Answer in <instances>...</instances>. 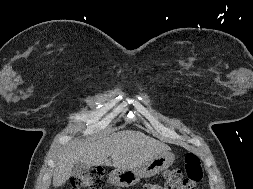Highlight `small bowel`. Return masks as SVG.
I'll return each mask as SVG.
<instances>
[{"label": "small bowel", "instance_id": "1", "mask_svg": "<svg viewBox=\"0 0 253 189\" xmlns=\"http://www.w3.org/2000/svg\"><path fill=\"white\" fill-rule=\"evenodd\" d=\"M144 189H166V188L160 185H147L144 187Z\"/></svg>", "mask_w": 253, "mask_h": 189}]
</instances>
